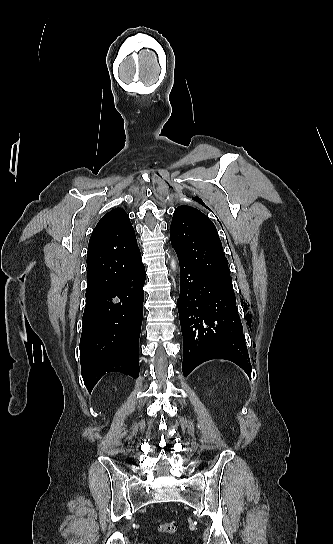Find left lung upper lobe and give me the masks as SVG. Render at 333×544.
Returning <instances> with one entry per match:
<instances>
[{
	"mask_svg": "<svg viewBox=\"0 0 333 544\" xmlns=\"http://www.w3.org/2000/svg\"><path fill=\"white\" fill-rule=\"evenodd\" d=\"M170 229L178 259L207 274L235 296L228 261L213 222L198 209L182 205L175 210Z\"/></svg>",
	"mask_w": 333,
	"mask_h": 544,
	"instance_id": "5c2ea615",
	"label": "left lung upper lobe"
}]
</instances>
